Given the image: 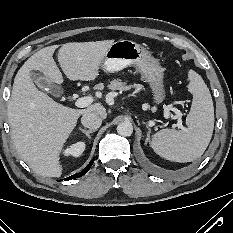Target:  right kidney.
Masks as SVG:
<instances>
[{
    "label": "right kidney",
    "instance_id": "ca27d5eb",
    "mask_svg": "<svg viewBox=\"0 0 233 233\" xmlns=\"http://www.w3.org/2000/svg\"><path fill=\"white\" fill-rule=\"evenodd\" d=\"M85 148H86V145L84 142L82 141L76 142L72 144L69 148L65 149L64 154L65 156L71 155L73 157H79L80 155H82Z\"/></svg>",
    "mask_w": 233,
    "mask_h": 233
}]
</instances>
